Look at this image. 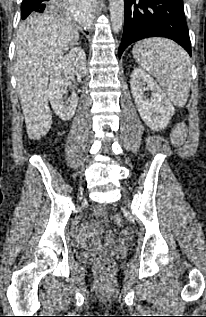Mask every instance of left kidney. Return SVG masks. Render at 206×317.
Returning <instances> with one entry per match:
<instances>
[{
    "label": "left kidney",
    "instance_id": "obj_1",
    "mask_svg": "<svg viewBox=\"0 0 206 317\" xmlns=\"http://www.w3.org/2000/svg\"><path fill=\"white\" fill-rule=\"evenodd\" d=\"M130 86L143 121L153 130L165 129L175 109L162 89L141 68H135L132 71ZM146 90L152 92L150 99L145 95Z\"/></svg>",
    "mask_w": 206,
    "mask_h": 317
}]
</instances>
